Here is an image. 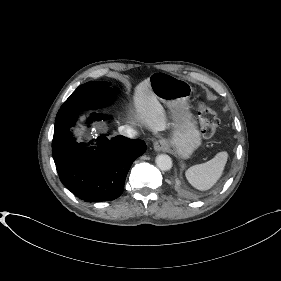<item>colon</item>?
Wrapping results in <instances>:
<instances>
[{
    "label": "colon",
    "instance_id": "colon-1",
    "mask_svg": "<svg viewBox=\"0 0 281 281\" xmlns=\"http://www.w3.org/2000/svg\"><path fill=\"white\" fill-rule=\"evenodd\" d=\"M200 119L203 135L206 138L214 136L218 128V118L215 111L203 102L201 103Z\"/></svg>",
    "mask_w": 281,
    "mask_h": 281
}]
</instances>
